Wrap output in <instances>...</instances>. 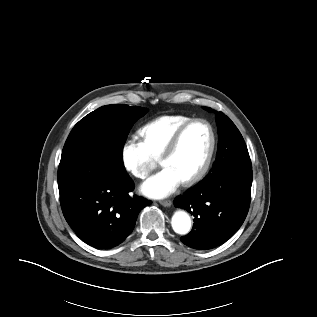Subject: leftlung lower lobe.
Segmentation results:
<instances>
[{
    "label": "left lung lower lobe",
    "instance_id": "0a47b994",
    "mask_svg": "<svg viewBox=\"0 0 317 317\" xmlns=\"http://www.w3.org/2000/svg\"><path fill=\"white\" fill-rule=\"evenodd\" d=\"M252 169L234 168L217 178H204L174 200L194 216L191 232L181 241L192 248L212 249L243 224L250 205Z\"/></svg>",
    "mask_w": 317,
    "mask_h": 317
}]
</instances>
